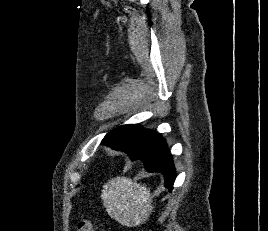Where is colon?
<instances>
[{
  "label": "colon",
  "instance_id": "1",
  "mask_svg": "<svg viewBox=\"0 0 268 231\" xmlns=\"http://www.w3.org/2000/svg\"><path fill=\"white\" fill-rule=\"evenodd\" d=\"M77 231H98L93 223L88 220H81L77 225Z\"/></svg>",
  "mask_w": 268,
  "mask_h": 231
}]
</instances>
